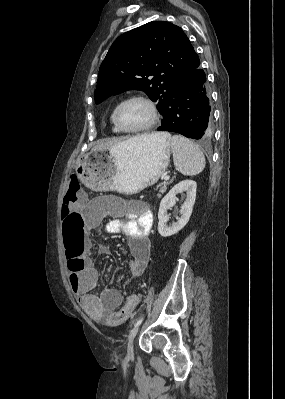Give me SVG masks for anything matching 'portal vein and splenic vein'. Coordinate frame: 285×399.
I'll use <instances>...</instances> for the list:
<instances>
[{"instance_id":"18ae733b","label":"portal vein and splenic vein","mask_w":285,"mask_h":399,"mask_svg":"<svg viewBox=\"0 0 285 399\" xmlns=\"http://www.w3.org/2000/svg\"><path fill=\"white\" fill-rule=\"evenodd\" d=\"M170 179V176L169 175H166L165 177H164V180L165 181H167V180H169Z\"/></svg>"}]
</instances>
